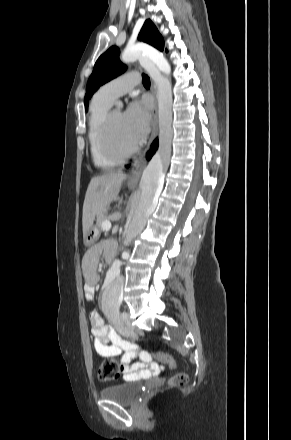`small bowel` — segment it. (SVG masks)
<instances>
[{
  "label": "small bowel",
  "instance_id": "small-bowel-1",
  "mask_svg": "<svg viewBox=\"0 0 291 440\" xmlns=\"http://www.w3.org/2000/svg\"><path fill=\"white\" fill-rule=\"evenodd\" d=\"M111 242L92 247L86 251L82 259V270L86 279L84 298L92 302L95 295L96 284L99 280L98 267L102 253L113 250ZM91 330L95 337L94 346L102 357H115L122 354L120 371L126 379H146L158 376L163 367L151 360H146L138 353L137 345L131 341L123 340L109 325L105 324L100 314L93 310L90 313ZM133 361L132 364H130Z\"/></svg>",
  "mask_w": 291,
  "mask_h": 440
}]
</instances>
